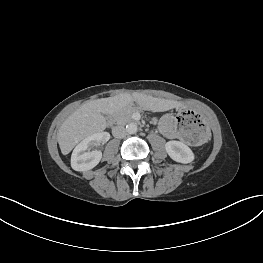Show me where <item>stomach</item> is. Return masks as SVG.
I'll list each match as a JSON object with an SVG mask.
<instances>
[{"label":"stomach","instance_id":"1","mask_svg":"<svg viewBox=\"0 0 263 263\" xmlns=\"http://www.w3.org/2000/svg\"><path fill=\"white\" fill-rule=\"evenodd\" d=\"M133 106L147 108L137 101L133 102ZM174 127L181 138L190 144L202 142L208 133L206 121L197 111L192 109H179L174 120Z\"/></svg>","mask_w":263,"mask_h":263}]
</instances>
